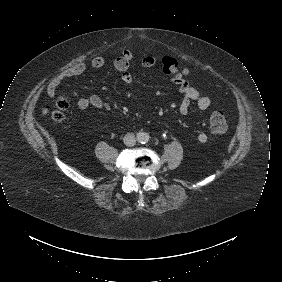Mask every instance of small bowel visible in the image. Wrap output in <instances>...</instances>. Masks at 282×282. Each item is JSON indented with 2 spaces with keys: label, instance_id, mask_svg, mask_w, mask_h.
<instances>
[{
  "label": "small bowel",
  "instance_id": "1",
  "mask_svg": "<svg viewBox=\"0 0 282 282\" xmlns=\"http://www.w3.org/2000/svg\"><path fill=\"white\" fill-rule=\"evenodd\" d=\"M133 60L132 52L125 50L114 61V67L121 72V81L125 84H130L133 81V76L130 73L129 66ZM105 65V59L101 56L94 57L91 61V67L94 69H100ZM141 65L144 68H153L157 65V61L153 56H146L142 59ZM87 69V64L80 62L74 66L66 68L56 74L50 79L47 84V95L53 98L56 94L59 86L67 79L82 75ZM172 82L178 87L179 92L182 95V100L178 106L180 114L185 115L189 112L191 104L196 103L197 107L201 111L207 110L211 105V100L208 96L201 94L195 87L190 85L187 80L176 81L172 79ZM76 107L80 110H85L89 107L103 110L105 108V102L97 95H91L85 98H81L77 101ZM196 140L199 143H206L208 141V135L204 132L196 134Z\"/></svg>",
  "mask_w": 282,
  "mask_h": 282
}]
</instances>
